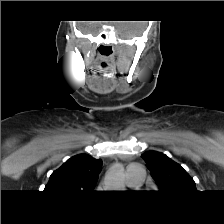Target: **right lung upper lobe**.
I'll use <instances>...</instances> for the list:
<instances>
[{"label":"right lung upper lobe","instance_id":"obj_1","mask_svg":"<svg viewBox=\"0 0 224 224\" xmlns=\"http://www.w3.org/2000/svg\"><path fill=\"white\" fill-rule=\"evenodd\" d=\"M101 166V159L88 154L73 156L51 174L45 190L58 193L92 192Z\"/></svg>","mask_w":224,"mask_h":224}]
</instances>
